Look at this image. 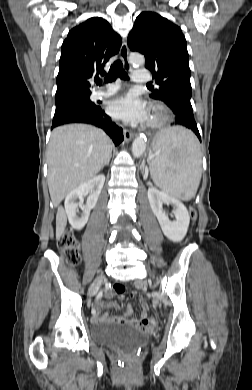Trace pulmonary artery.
<instances>
[{
    "instance_id": "pulmonary-artery-1",
    "label": "pulmonary artery",
    "mask_w": 252,
    "mask_h": 390,
    "mask_svg": "<svg viewBox=\"0 0 252 390\" xmlns=\"http://www.w3.org/2000/svg\"><path fill=\"white\" fill-rule=\"evenodd\" d=\"M132 79L134 82H147L150 81V75L145 70H135L132 72ZM119 86L116 84H108L105 89L97 90L93 93L95 100L102 99L114 94L118 90Z\"/></svg>"
}]
</instances>
